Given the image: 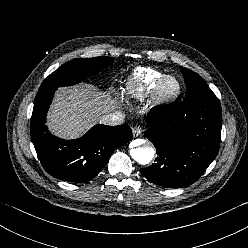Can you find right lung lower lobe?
Wrapping results in <instances>:
<instances>
[{"label":"right lung lower lobe","mask_w":248,"mask_h":248,"mask_svg":"<svg viewBox=\"0 0 248 248\" xmlns=\"http://www.w3.org/2000/svg\"><path fill=\"white\" fill-rule=\"evenodd\" d=\"M55 88L38 91L31 117V138L44 169L54 178L82 183L94 178L112 152L132 139L127 124L95 125L83 137L63 140L45 125Z\"/></svg>","instance_id":"1"}]
</instances>
